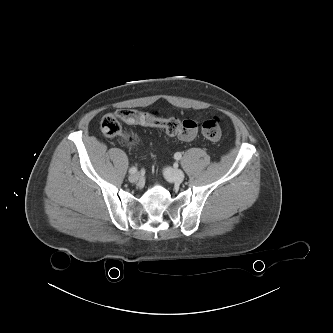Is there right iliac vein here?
<instances>
[{"instance_id":"1","label":"right iliac vein","mask_w":333,"mask_h":333,"mask_svg":"<svg viewBox=\"0 0 333 333\" xmlns=\"http://www.w3.org/2000/svg\"><path fill=\"white\" fill-rule=\"evenodd\" d=\"M139 178H140V175L138 173H134V174H131L128 179L130 182L134 183V182H137L139 180Z\"/></svg>"}]
</instances>
